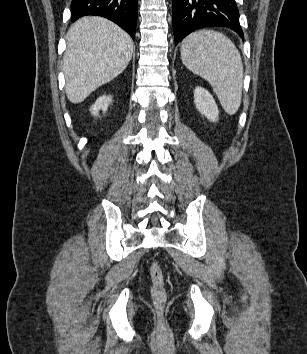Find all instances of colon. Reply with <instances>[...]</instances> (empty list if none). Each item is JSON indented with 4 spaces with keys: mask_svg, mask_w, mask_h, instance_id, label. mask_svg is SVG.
<instances>
[{
    "mask_svg": "<svg viewBox=\"0 0 307 354\" xmlns=\"http://www.w3.org/2000/svg\"><path fill=\"white\" fill-rule=\"evenodd\" d=\"M150 276L152 281L151 295L154 303L162 307L166 301V290L164 285V275L161 266L153 263L150 267Z\"/></svg>",
    "mask_w": 307,
    "mask_h": 354,
    "instance_id": "5ec220e1",
    "label": "colon"
}]
</instances>
